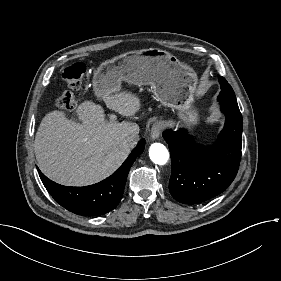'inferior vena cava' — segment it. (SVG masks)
Returning <instances> with one entry per match:
<instances>
[{
	"instance_id": "obj_1",
	"label": "inferior vena cava",
	"mask_w": 281,
	"mask_h": 281,
	"mask_svg": "<svg viewBox=\"0 0 281 281\" xmlns=\"http://www.w3.org/2000/svg\"><path fill=\"white\" fill-rule=\"evenodd\" d=\"M121 139L125 142V143H130L133 144L138 140V135H133V134H123L121 136Z\"/></svg>"
}]
</instances>
